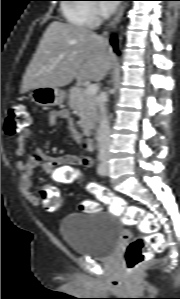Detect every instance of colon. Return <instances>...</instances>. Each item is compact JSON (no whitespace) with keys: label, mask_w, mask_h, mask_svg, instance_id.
I'll list each match as a JSON object with an SVG mask.
<instances>
[{"label":"colon","mask_w":180,"mask_h":299,"mask_svg":"<svg viewBox=\"0 0 180 299\" xmlns=\"http://www.w3.org/2000/svg\"><path fill=\"white\" fill-rule=\"evenodd\" d=\"M31 120L32 114L26 105H14L7 112L5 132L8 135H14L25 129ZM88 189L95 194L99 201L107 205L111 212L120 216L125 225L135 226L140 232V235L129 242L123 254V260L128 269L135 268L154 253L164 250V237L159 232L157 218L152 213L142 207L129 205L125 199L98 184L92 183ZM41 200L46 211H58L61 204L58 188L53 185L43 188ZM79 209L85 213H92L99 210V205L93 200H84L79 204Z\"/></svg>","instance_id":"obj_1"}]
</instances>
